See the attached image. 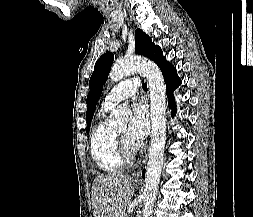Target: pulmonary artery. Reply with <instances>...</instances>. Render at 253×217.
<instances>
[{
  "mask_svg": "<svg viewBox=\"0 0 253 217\" xmlns=\"http://www.w3.org/2000/svg\"><path fill=\"white\" fill-rule=\"evenodd\" d=\"M140 85L137 78H129L114 86L103 101V107L111 109L116 106L120 101L134 95Z\"/></svg>",
  "mask_w": 253,
  "mask_h": 217,
  "instance_id": "obj_1",
  "label": "pulmonary artery"
}]
</instances>
